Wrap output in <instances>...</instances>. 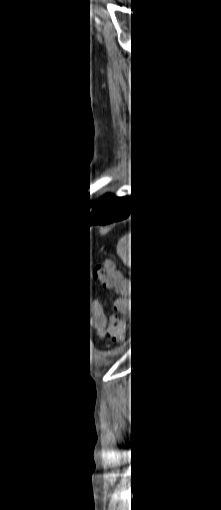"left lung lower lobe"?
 Wrapping results in <instances>:
<instances>
[{"label": "left lung lower lobe", "instance_id": "obj_1", "mask_svg": "<svg viewBox=\"0 0 221 510\" xmlns=\"http://www.w3.org/2000/svg\"><path fill=\"white\" fill-rule=\"evenodd\" d=\"M141 207V198L138 193L120 194L106 207L87 213L84 217L85 226L93 224L106 225L115 221H120L133 215L134 234L139 235V241H143L144 228Z\"/></svg>", "mask_w": 221, "mask_h": 510}]
</instances>
